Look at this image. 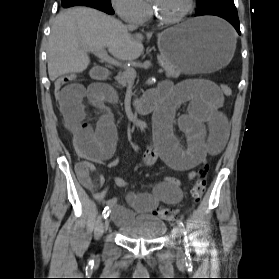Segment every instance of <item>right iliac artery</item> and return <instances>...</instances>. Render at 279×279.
<instances>
[{
	"label": "right iliac artery",
	"instance_id": "obj_1",
	"mask_svg": "<svg viewBox=\"0 0 279 279\" xmlns=\"http://www.w3.org/2000/svg\"><path fill=\"white\" fill-rule=\"evenodd\" d=\"M110 212H111V210L109 209V207L108 206L105 207L103 212H102L103 218L106 219L109 216Z\"/></svg>",
	"mask_w": 279,
	"mask_h": 279
}]
</instances>
